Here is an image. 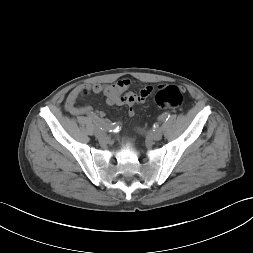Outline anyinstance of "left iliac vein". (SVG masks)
Returning a JSON list of instances; mask_svg holds the SVG:
<instances>
[{"label": "left iliac vein", "mask_w": 253, "mask_h": 253, "mask_svg": "<svg viewBox=\"0 0 253 253\" xmlns=\"http://www.w3.org/2000/svg\"><path fill=\"white\" fill-rule=\"evenodd\" d=\"M149 138L155 141H159L162 139L163 132L161 128L156 129L155 131L149 133Z\"/></svg>", "instance_id": "4c4485c4"}]
</instances>
